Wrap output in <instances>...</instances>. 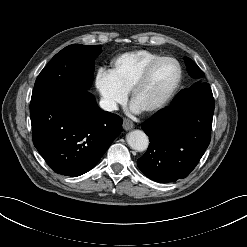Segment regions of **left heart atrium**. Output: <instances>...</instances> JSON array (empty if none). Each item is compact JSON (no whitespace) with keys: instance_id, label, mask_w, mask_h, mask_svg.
I'll list each match as a JSON object with an SVG mask.
<instances>
[{"instance_id":"1","label":"left heart atrium","mask_w":247,"mask_h":247,"mask_svg":"<svg viewBox=\"0 0 247 247\" xmlns=\"http://www.w3.org/2000/svg\"><path fill=\"white\" fill-rule=\"evenodd\" d=\"M130 109H131V111L134 112V113H139V112H141V111L143 110V109L140 108L134 101L131 103Z\"/></svg>"}]
</instances>
